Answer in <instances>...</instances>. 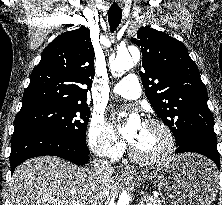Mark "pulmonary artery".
<instances>
[{
    "label": "pulmonary artery",
    "instance_id": "1",
    "mask_svg": "<svg viewBox=\"0 0 222 205\" xmlns=\"http://www.w3.org/2000/svg\"><path fill=\"white\" fill-rule=\"evenodd\" d=\"M113 92L126 99H137L141 95V87L135 75H127L114 88Z\"/></svg>",
    "mask_w": 222,
    "mask_h": 205
}]
</instances>
